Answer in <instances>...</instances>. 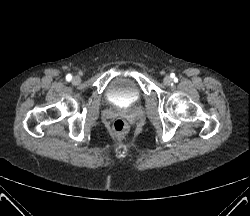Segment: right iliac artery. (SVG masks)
<instances>
[{
  "label": "right iliac artery",
  "instance_id": "82829eb1",
  "mask_svg": "<svg viewBox=\"0 0 250 216\" xmlns=\"http://www.w3.org/2000/svg\"><path fill=\"white\" fill-rule=\"evenodd\" d=\"M71 79H72L71 74H68V75L66 76V80H67V81H70Z\"/></svg>",
  "mask_w": 250,
  "mask_h": 216
}]
</instances>
